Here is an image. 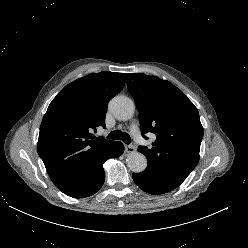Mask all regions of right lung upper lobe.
I'll return each mask as SVG.
<instances>
[{"label":"right lung upper lobe","mask_w":248,"mask_h":248,"mask_svg":"<svg viewBox=\"0 0 248 248\" xmlns=\"http://www.w3.org/2000/svg\"><path fill=\"white\" fill-rule=\"evenodd\" d=\"M126 77V73H91L66 85L50 103L37 150L61 191L77 185L106 159L115 141L92 133L99 126L105 128L107 104L123 89Z\"/></svg>","instance_id":"obj_1"}]
</instances>
